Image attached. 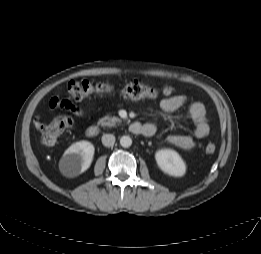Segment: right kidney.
I'll return each instance as SVG.
<instances>
[{
  "label": "right kidney",
  "instance_id": "obj_1",
  "mask_svg": "<svg viewBox=\"0 0 261 254\" xmlns=\"http://www.w3.org/2000/svg\"><path fill=\"white\" fill-rule=\"evenodd\" d=\"M94 151L93 144L88 141L73 143L61 159L63 172L73 177L86 171L92 163Z\"/></svg>",
  "mask_w": 261,
  "mask_h": 254
}]
</instances>
